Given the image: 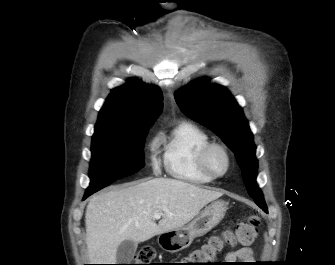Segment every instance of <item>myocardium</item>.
Here are the masks:
<instances>
[{"label":"myocardium","instance_id":"obj_1","mask_svg":"<svg viewBox=\"0 0 335 265\" xmlns=\"http://www.w3.org/2000/svg\"><path fill=\"white\" fill-rule=\"evenodd\" d=\"M215 150L221 151L224 154L225 159H226V167H225L224 171L221 172V173L215 172L212 169V167L210 166V163H209L210 155ZM199 165H200L201 169L207 175H209L210 177H212L213 179L222 178L231 169V166H232L231 153H230L229 149L224 144L217 143V142H210L200 152V155H199Z\"/></svg>","mask_w":335,"mask_h":265}]
</instances>
